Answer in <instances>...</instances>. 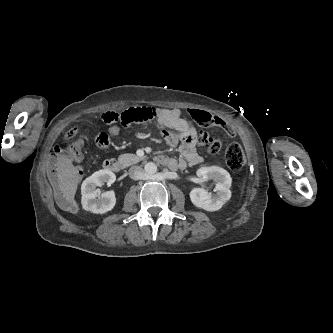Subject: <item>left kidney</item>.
<instances>
[{"label": "left kidney", "mask_w": 333, "mask_h": 333, "mask_svg": "<svg viewBox=\"0 0 333 333\" xmlns=\"http://www.w3.org/2000/svg\"><path fill=\"white\" fill-rule=\"evenodd\" d=\"M199 175L205 180L215 181V194L208 192L205 188H194L190 192V199L192 203L206 211H217L230 199L231 197V183L232 179L230 174L223 168L218 166L201 167Z\"/></svg>", "instance_id": "1"}]
</instances>
